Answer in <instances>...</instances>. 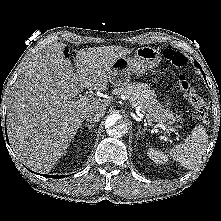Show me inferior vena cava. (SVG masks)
Instances as JSON below:
<instances>
[{
	"label": "inferior vena cava",
	"instance_id": "1",
	"mask_svg": "<svg viewBox=\"0 0 221 221\" xmlns=\"http://www.w3.org/2000/svg\"><path fill=\"white\" fill-rule=\"evenodd\" d=\"M105 114V110H99V109H91L85 116L86 120L90 123H96L99 122L100 119Z\"/></svg>",
	"mask_w": 221,
	"mask_h": 221
}]
</instances>
